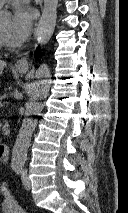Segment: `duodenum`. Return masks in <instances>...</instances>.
Wrapping results in <instances>:
<instances>
[{
    "instance_id": "410a0bca",
    "label": "duodenum",
    "mask_w": 128,
    "mask_h": 213,
    "mask_svg": "<svg viewBox=\"0 0 128 213\" xmlns=\"http://www.w3.org/2000/svg\"><path fill=\"white\" fill-rule=\"evenodd\" d=\"M10 148L6 144H0V160L7 162L9 159Z\"/></svg>"
}]
</instances>
